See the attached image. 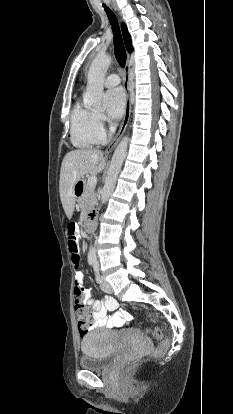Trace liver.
I'll use <instances>...</instances> for the list:
<instances>
[{
  "label": "liver",
  "mask_w": 233,
  "mask_h": 414,
  "mask_svg": "<svg viewBox=\"0 0 233 414\" xmlns=\"http://www.w3.org/2000/svg\"><path fill=\"white\" fill-rule=\"evenodd\" d=\"M105 165L103 152L97 149H76L66 154L61 165L59 192L68 218L72 217L75 207V185L85 174L95 176L100 173Z\"/></svg>",
  "instance_id": "liver-1"
}]
</instances>
